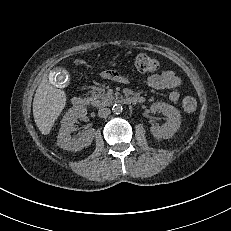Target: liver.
Masks as SVG:
<instances>
[{
    "instance_id": "obj_1",
    "label": "liver",
    "mask_w": 231,
    "mask_h": 231,
    "mask_svg": "<svg viewBox=\"0 0 231 231\" xmlns=\"http://www.w3.org/2000/svg\"><path fill=\"white\" fill-rule=\"evenodd\" d=\"M65 105V92L52 86L47 78H43L33 100L34 120L42 134L50 133Z\"/></svg>"
}]
</instances>
